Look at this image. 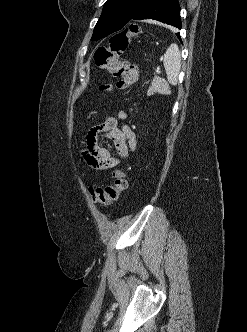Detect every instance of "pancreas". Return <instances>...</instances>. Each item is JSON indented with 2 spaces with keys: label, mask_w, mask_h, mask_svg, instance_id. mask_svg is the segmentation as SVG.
Listing matches in <instances>:
<instances>
[{
  "label": "pancreas",
  "mask_w": 247,
  "mask_h": 332,
  "mask_svg": "<svg viewBox=\"0 0 247 332\" xmlns=\"http://www.w3.org/2000/svg\"><path fill=\"white\" fill-rule=\"evenodd\" d=\"M161 84H162V83H161L160 78L155 77L154 80H153V82H152V85H151V86L149 87V89H148V93H147V94H148L149 96H151V95H153L154 93H156V92L159 90Z\"/></svg>",
  "instance_id": "obj_1"
}]
</instances>
